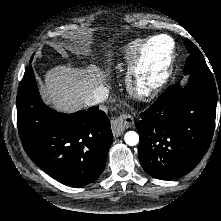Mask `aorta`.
<instances>
[{
    "label": "aorta",
    "instance_id": "obj_1",
    "mask_svg": "<svg viewBox=\"0 0 221 221\" xmlns=\"http://www.w3.org/2000/svg\"><path fill=\"white\" fill-rule=\"evenodd\" d=\"M124 141L129 146H135L139 143V135L135 131H128L124 135Z\"/></svg>",
    "mask_w": 221,
    "mask_h": 221
}]
</instances>
